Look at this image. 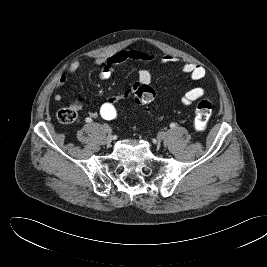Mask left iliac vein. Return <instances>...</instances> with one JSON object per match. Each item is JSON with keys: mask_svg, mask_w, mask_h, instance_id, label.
Here are the masks:
<instances>
[{"mask_svg": "<svg viewBox=\"0 0 267 267\" xmlns=\"http://www.w3.org/2000/svg\"><path fill=\"white\" fill-rule=\"evenodd\" d=\"M166 137H167V133L164 132V131H161V132H159V133L157 134V139H158L159 141L164 140Z\"/></svg>", "mask_w": 267, "mask_h": 267, "instance_id": "obj_1", "label": "left iliac vein"}]
</instances>
